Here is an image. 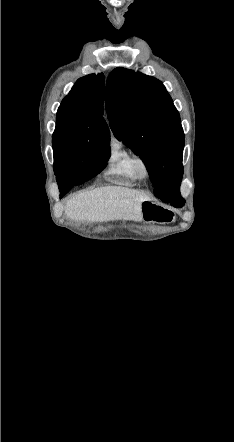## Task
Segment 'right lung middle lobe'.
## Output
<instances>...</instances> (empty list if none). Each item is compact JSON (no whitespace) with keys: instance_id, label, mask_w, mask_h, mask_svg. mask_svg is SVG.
I'll return each instance as SVG.
<instances>
[{"instance_id":"right-lung-middle-lobe-1","label":"right lung middle lobe","mask_w":234,"mask_h":442,"mask_svg":"<svg viewBox=\"0 0 234 442\" xmlns=\"http://www.w3.org/2000/svg\"><path fill=\"white\" fill-rule=\"evenodd\" d=\"M52 144L59 186L72 188L89 180L110 157L109 141L86 139L67 124L56 123Z\"/></svg>"}]
</instances>
